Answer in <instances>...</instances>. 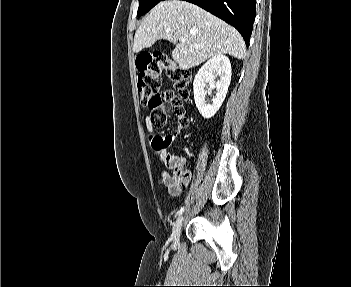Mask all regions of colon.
<instances>
[{
	"label": "colon",
	"instance_id": "5ec220e1",
	"mask_svg": "<svg viewBox=\"0 0 351 287\" xmlns=\"http://www.w3.org/2000/svg\"><path fill=\"white\" fill-rule=\"evenodd\" d=\"M139 71L137 78V90L144 106L152 111L151 121L154 129L166 125L167 113L165 104L170 103L174 112L179 117L182 126H187L186 108L184 101L189 97V85L192 80V73L189 69L183 68L165 54L154 52L141 54L136 63ZM166 74L178 95L171 91L160 94L161 76ZM161 136V135H159ZM175 177L179 189L184 190L190 180L189 172L175 168Z\"/></svg>",
	"mask_w": 351,
	"mask_h": 287
}]
</instances>
